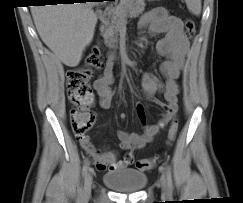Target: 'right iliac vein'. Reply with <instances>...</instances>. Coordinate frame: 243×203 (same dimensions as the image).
Instances as JSON below:
<instances>
[{"label":"right iliac vein","mask_w":243,"mask_h":203,"mask_svg":"<svg viewBox=\"0 0 243 203\" xmlns=\"http://www.w3.org/2000/svg\"><path fill=\"white\" fill-rule=\"evenodd\" d=\"M92 182H93L92 172H88L85 176V184L83 189L84 196H89L91 194Z\"/></svg>","instance_id":"1"}]
</instances>
